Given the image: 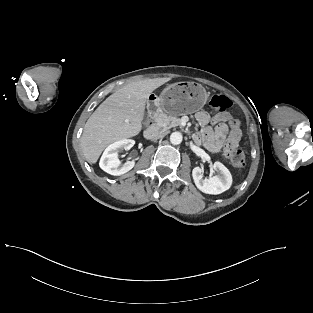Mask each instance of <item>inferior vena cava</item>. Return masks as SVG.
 <instances>
[{
  "instance_id": "602c4592",
  "label": "inferior vena cava",
  "mask_w": 313,
  "mask_h": 313,
  "mask_svg": "<svg viewBox=\"0 0 313 313\" xmlns=\"http://www.w3.org/2000/svg\"><path fill=\"white\" fill-rule=\"evenodd\" d=\"M167 133L168 132L166 130L153 129V130H151L150 139L151 140H157V139L163 138L164 136L167 135Z\"/></svg>"
}]
</instances>
